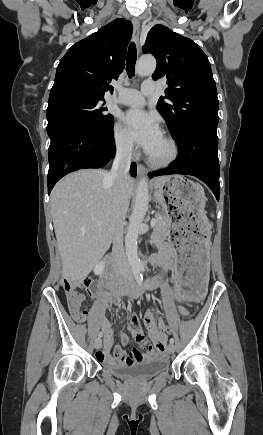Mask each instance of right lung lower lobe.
Listing matches in <instances>:
<instances>
[{"mask_svg":"<svg viewBox=\"0 0 263 435\" xmlns=\"http://www.w3.org/2000/svg\"><path fill=\"white\" fill-rule=\"evenodd\" d=\"M113 127L97 131L82 124H62L49 134L48 194L64 175L84 168H101L115 155ZM131 176H136L132 163Z\"/></svg>","mask_w":263,"mask_h":435,"instance_id":"obj_1","label":"right lung lower lobe"}]
</instances>
